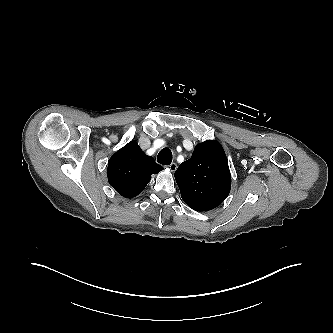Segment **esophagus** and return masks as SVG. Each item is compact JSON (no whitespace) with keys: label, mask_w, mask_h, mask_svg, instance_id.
Masks as SVG:
<instances>
[{"label":"esophagus","mask_w":333,"mask_h":333,"mask_svg":"<svg viewBox=\"0 0 333 333\" xmlns=\"http://www.w3.org/2000/svg\"><path fill=\"white\" fill-rule=\"evenodd\" d=\"M168 169L171 171V172H174L176 171L177 169V164L176 163H171L169 166H168Z\"/></svg>","instance_id":"34e87169"}]
</instances>
